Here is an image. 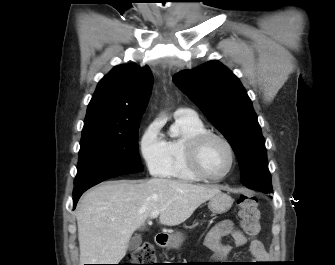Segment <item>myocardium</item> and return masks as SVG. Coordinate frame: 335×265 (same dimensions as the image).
Here are the masks:
<instances>
[{"label":"myocardium","instance_id":"1","mask_svg":"<svg viewBox=\"0 0 335 265\" xmlns=\"http://www.w3.org/2000/svg\"><path fill=\"white\" fill-rule=\"evenodd\" d=\"M211 139H217L221 141L228 149L230 156L229 165L226 171L219 176H211L207 174L203 170L200 163V154L202 148L206 144V142H208ZM186 156L191 171L200 179L210 182H218L226 178L233 170L236 161L235 150L231 142L226 137L211 131H205L192 137L187 144Z\"/></svg>","mask_w":335,"mask_h":265}]
</instances>
